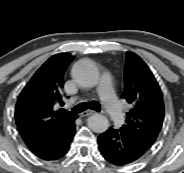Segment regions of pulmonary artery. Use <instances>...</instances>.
Returning <instances> with one entry per match:
<instances>
[{
	"label": "pulmonary artery",
	"instance_id": "1",
	"mask_svg": "<svg viewBox=\"0 0 184 173\" xmlns=\"http://www.w3.org/2000/svg\"><path fill=\"white\" fill-rule=\"evenodd\" d=\"M100 96L103 104L115 123H121L123 121V110L122 105L116 97L112 79L109 74L103 75L100 81Z\"/></svg>",
	"mask_w": 184,
	"mask_h": 173
}]
</instances>
